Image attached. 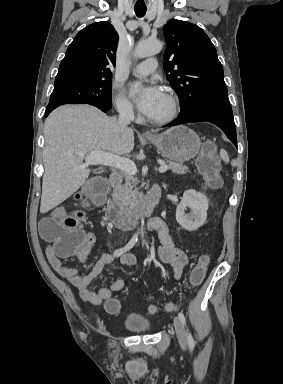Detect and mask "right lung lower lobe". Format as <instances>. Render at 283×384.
Wrapping results in <instances>:
<instances>
[{
	"label": "right lung lower lobe",
	"instance_id": "1",
	"mask_svg": "<svg viewBox=\"0 0 283 384\" xmlns=\"http://www.w3.org/2000/svg\"><path fill=\"white\" fill-rule=\"evenodd\" d=\"M93 106H96L97 108H99L100 110H102L103 112H107L108 110H110L112 108V104H109V105H97V104H91ZM55 108H49L47 107L46 108V111H45V116L47 117L51 111H53Z\"/></svg>",
	"mask_w": 283,
	"mask_h": 384
}]
</instances>
